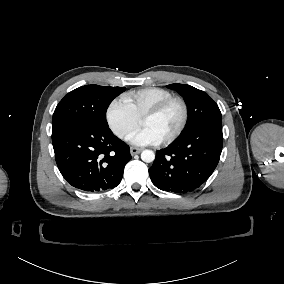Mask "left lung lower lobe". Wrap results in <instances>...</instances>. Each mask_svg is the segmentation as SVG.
I'll use <instances>...</instances> for the list:
<instances>
[{
    "mask_svg": "<svg viewBox=\"0 0 284 284\" xmlns=\"http://www.w3.org/2000/svg\"><path fill=\"white\" fill-rule=\"evenodd\" d=\"M222 124H205L184 133L156 152L149 175L164 191L187 193L198 188L215 170L222 151Z\"/></svg>",
    "mask_w": 284,
    "mask_h": 284,
    "instance_id": "0a47b994",
    "label": "left lung lower lobe"
}]
</instances>
